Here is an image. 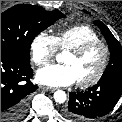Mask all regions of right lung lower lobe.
<instances>
[{"mask_svg":"<svg viewBox=\"0 0 122 122\" xmlns=\"http://www.w3.org/2000/svg\"><path fill=\"white\" fill-rule=\"evenodd\" d=\"M32 77L30 62L1 49V122H17L24 116L29 95L38 88Z\"/></svg>","mask_w":122,"mask_h":122,"instance_id":"98d812e1","label":"right lung lower lobe"}]
</instances>
